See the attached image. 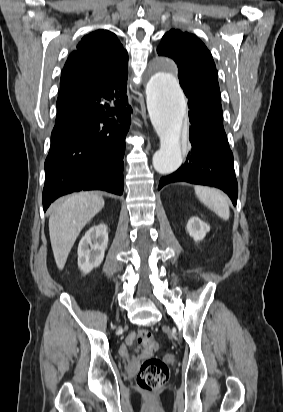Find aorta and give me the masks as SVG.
Masks as SVG:
<instances>
[{"label":"aorta","mask_w":283,"mask_h":412,"mask_svg":"<svg viewBox=\"0 0 283 412\" xmlns=\"http://www.w3.org/2000/svg\"><path fill=\"white\" fill-rule=\"evenodd\" d=\"M161 60L146 86L147 109L160 138V148L153 155L154 169L163 175L176 171L183 161L187 145L185 99L172 67Z\"/></svg>","instance_id":"aorta-1"}]
</instances>
